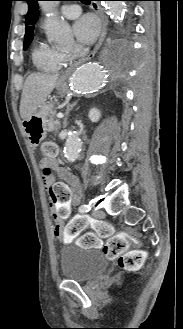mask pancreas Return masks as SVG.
<instances>
[{
	"mask_svg": "<svg viewBox=\"0 0 183 329\" xmlns=\"http://www.w3.org/2000/svg\"><path fill=\"white\" fill-rule=\"evenodd\" d=\"M61 129V123L59 120L55 119L54 114L50 116L47 123V130L49 132H54L55 134Z\"/></svg>",
	"mask_w": 183,
	"mask_h": 329,
	"instance_id": "1",
	"label": "pancreas"
}]
</instances>
